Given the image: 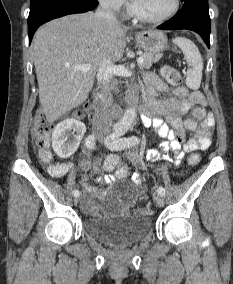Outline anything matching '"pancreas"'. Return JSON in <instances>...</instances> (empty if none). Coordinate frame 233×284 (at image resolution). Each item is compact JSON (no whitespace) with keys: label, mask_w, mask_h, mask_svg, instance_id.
Returning <instances> with one entry per match:
<instances>
[{"label":"pancreas","mask_w":233,"mask_h":284,"mask_svg":"<svg viewBox=\"0 0 233 284\" xmlns=\"http://www.w3.org/2000/svg\"><path fill=\"white\" fill-rule=\"evenodd\" d=\"M144 61L142 63L139 64L140 69H150L152 64L157 62L159 59H161L162 54L161 53H157V54H151L148 52H145L142 55Z\"/></svg>","instance_id":"cf45deb5"}]
</instances>
